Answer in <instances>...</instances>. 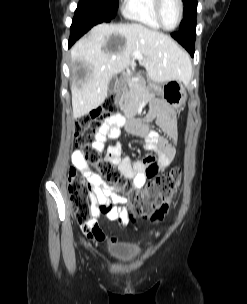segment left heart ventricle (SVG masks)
Returning a JSON list of instances; mask_svg holds the SVG:
<instances>
[{
    "mask_svg": "<svg viewBox=\"0 0 247 304\" xmlns=\"http://www.w3.org/2000/svg\"><path fill=\"white\" fill-rule=\"evenodd\" d=\"M161 15L164 25L167 28H173L179 17V6L176 0H164Z\"/></svg>",
    "mask_w": 247,
    "mask_h": 304,
    "instance_id": "1",
    "label": "left heart ventricle"
}]
</instances>
